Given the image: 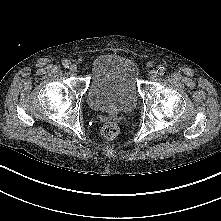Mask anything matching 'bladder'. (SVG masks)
I'll list each match as a JSON object with an SVG mask.
<instances>
[{
	"instance_id": "31cf9c89",
	"label": "bladder",
	"mask_w": 221,
	"mask_h": 221,
	"mask_svg": "<svg viewBox=\"0 0 221 221\" xmlns=\"http://www.w3.org/2000/svg\"><path fill=\"white\" fill-rule=\"evenodd\" d=\"M139 67L130 57L118 53L98 55L91 70L87 102L95 111L128 112L138 102Z\"/></svg>"
}]
</instances>
